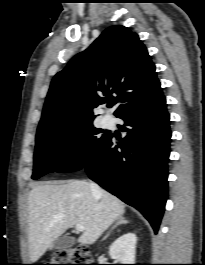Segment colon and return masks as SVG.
Here are the masks:
<instances>
[{
	"instance_id": "5ec220e1",
	"label": "colon",
	"mask_w": 205,
	"mask_h": 265,
	"mask_svg": "<svg viewBox=\"0 0 205 265\" xmlns=\"http://www.w3.org/2000/svg\"><path fill=\"white\" fill-rule=\"evenodd\" d=\"M91 261L89 249L79 245L54 253L50 259L51 264L46 265H92Z\"/></svg>"
}]
</instances>
